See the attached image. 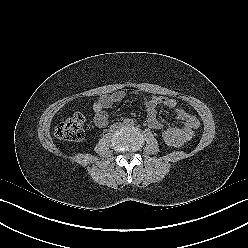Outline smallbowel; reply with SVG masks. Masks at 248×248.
I'll return each mask as SVG.
<instances>
[{"label":"small bowel","mask_w":248,"mask_h":248,"mask_svg":"<svg viewBox=\"0 0 248 248\" xmlns=\"http://www.w3.org/2000/svg\"><path fill=\"white\" fill-rule=\"evenodd\" d=\"M133 94L141 98L146 104L147 123L150 128L158 131L165 129L163 123L157 117V108L159 106H164L171 109L174 113V118L183 123L182 126L167 128L165 131L175 133L179 137L181 144L192 139L194 131L199 127V120L194 115L181 108L176 100L164 96H144L137 92H134ZM126 96L127 94L125 91L118 90L99 97L93 104L95 125L99 128L105 127L109 121L106 110L115 103L121 102Z\"/></svg>","instance_id":"1"}]
</instances>
